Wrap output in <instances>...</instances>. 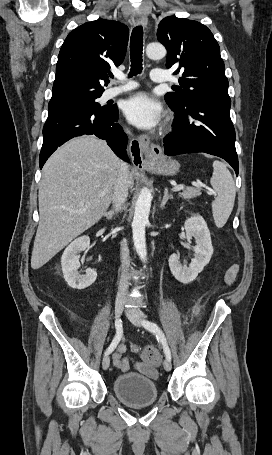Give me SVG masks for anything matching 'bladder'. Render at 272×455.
Masks as SVG:
<instances>
[{"instance_id":"1","label":"bladder","mask_w":272,"mask_h":455,"mask_svg":"<svg viewBox=\"0 0 272 455\" xmlns=\"http://www.w3.org/2000/svg\"><path fill=\"white\" fill-rule=\"evenodd\" d=\"M113 392L123 404L130 407L151 405L158 398L155 381L135 372L117 376L113 382Z\"/></svg>"}]
</instances>
